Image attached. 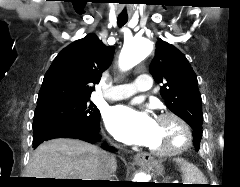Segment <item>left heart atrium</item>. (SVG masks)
Here are the masks:
<instances>
[{"instance_id":"obj_1","label":"left heart atrium","mask_w":240,"mask_h":187,"mask_svg":"<svg viewBox=\"0 0 240 187\" xmlns=\"http://www.w3.org/2000/svg\"><path fill=\"white\" fill-rule=\"evenodd\" d=\"M105 123L110 133L126 144L149 146L157 130V121L148 113L122 105L109 109Z\"/></svg>"}]
</instances>
